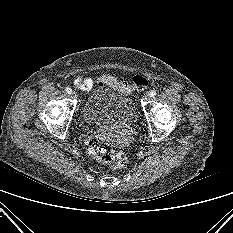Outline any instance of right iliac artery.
<instances>
[{
	"mask_svg": "<svg viewBox=\"0 0 233 233\" xmlns=\"http://www.w3.org/2000/svg\"><path fill=\"white\" fill-rule=\"evenodd\" d=\"M65 91H66L68 94H70V93L72 92L71 88H69V87H67V88L65 89Z\"/></svg>",
	"mask_w": 233,
	"mask_h": 233,
	"instance_id": "obj_1",
	"label": "right iliac artery"
}]
</instances>
